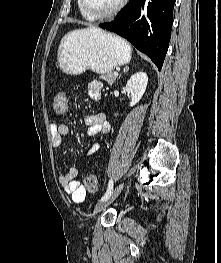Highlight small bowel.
I'll list each match as a JSON object with an SVG mask.
<instances>
[{
    "instance_id": "c3829d8e",
    "label": "small bowel",
    "mask_w": 221,
    "mask_h": 263,
    "mask_svg": "<svg viewBox=\"0 0 221 263\" xmlns=\"http://www.w3.org/2000/svg\"><path fill=\"white\" fill-rule=\"evenodd\" d=\"M103 85L100 81H91L87 86V93L92 101H100L102 97ZM88 126L87 134L89 137H95L97 135L104 136L109 133L110 125L103 113H96L88 116L85 119ZM52 134V145L54 147H59L64 137L69 134V128L65 124H52L51 125ZM99 148L98 143H93L86 151L87 155L96 152ZM80 176L79 170L77 168H70L67 173H61L59 175V183L64 188V190L70 195L74 203H82L85 200L86 191L78 182Z\"/></svg>"
}]
</instances>
